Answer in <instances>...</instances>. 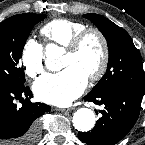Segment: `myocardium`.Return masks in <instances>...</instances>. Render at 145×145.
<instances>
[{
    "label": "myocardium",
    "mask_w": 145,
    "mask_h": 145,
    "mask_svg": "<svg viewBox=\"0 0 145 145\" xmlns=\"http://www.w3.org/2000/svg\"><path fill=\"white\" fill-rule=\"evenodd\" d=\"M91 35L96 36L100 41L102 55L98 69L93 74L89 75L87 79L90 81H98L105 75L110 60L109 43L105 35L97 28H86L76 34L65 48L67 52L75 53L80 49L85 39Z\"/></svg>",
    "instance_id": "myocardium-1"
}]
</instances>
